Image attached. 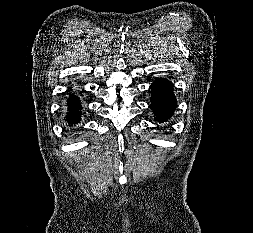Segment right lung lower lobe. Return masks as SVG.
I'll return each instance as SVG.
<instances>
[{
	"instance_id": "obj_1",
	"label": "right lung lower lobe",
	"mask_w": 253,
	"mask_h": 233,
	"mask_svg": "<svg viewBox=\"0 0 253 233\" xmlns=\"http://www.w3.org/2000/svg\"><path fill=\"white\" fill-rule=\"evenodd\" d=\"M67 106H68L67 122L69 124L77 123L81 113L79 99L76 96H71L67 100Z\"/></svg>"
}]
</instances>
